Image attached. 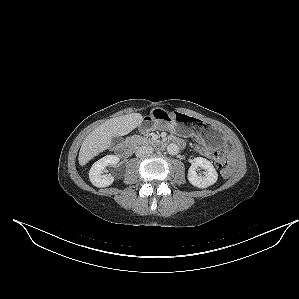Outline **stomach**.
<instances>
[{"instance_id":"0dacf381","label":"stomach","mask_w":299,"mask_h":299,"mask_svg":"<svg viewBox=\"0 0 299 299\" xmlns=\"http://www.w3.org/2000/svg\"><path fill=\"white\" fill-rule=\"evenodd\" d=\"M157 129H173L193 135L209 148H218L223 141V134L213 126L206 123L200 124L191 115L181 112L168 113L162 108H154L140 126L141 132Z\"/></svg>"}]
</instances>
